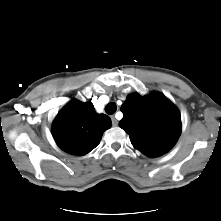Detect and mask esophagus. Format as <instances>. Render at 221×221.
Wrapping results in <instances>:
<instances>
[{
  "label": "esophagus",
  "mask_w": 221,
  "mask_h": 221,
  "mask_svg": "<svg viewBox=\"0 0 221 221\" xmlns=\"http://www.w3.org/2000/svg\"><path fill=\"white\" fill-rule=\"evenodd\" d=\"M111 120H112V124H113L114 126H117V125H118V120L116 119L115 116H111Z\"/></svg>",
  "instance_id": "obj_1"
}]
</instances>
